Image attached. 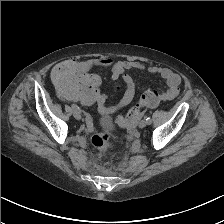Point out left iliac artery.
Masks as SVG:
<instances>
[{"instance_id":"44dca946","label":"left iliac artery","mask_w":224,"mask_h":224,"mask_svg":"<svg viewBox=\"0 0 224 224\" xmlns=\"http://www.w3.org/2000/svg\"><path fill=\"white\" fill-rule=\"evenodd\" d=\"M145 120H146V122H147V124H148V125H150V124L152 123V120H151V118H150V117H146V119H145Z\"/></svg>"}]
</instances>
